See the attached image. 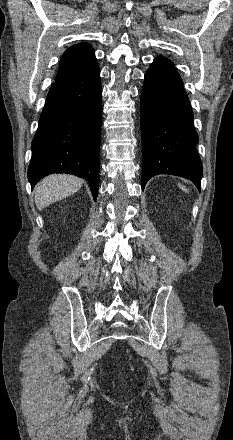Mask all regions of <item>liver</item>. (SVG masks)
<instances>
[{
    "instance_id": "1",
    "label": "liver",
    "mask_w": 233,
    "mask_h": 440,
    "mask_svg": "<svg viewBox=\"0 0 233 440\" xmlns=\"http://www.w3.org/2000/svg\"><path fill=\"white\" fill-rule=\"evenodd\" d=\"M83 180L73 175L55 174L43 178L35 187V203L39 210L77 192Z\"/></svg>"
}]
</instances>
